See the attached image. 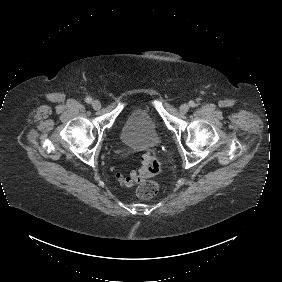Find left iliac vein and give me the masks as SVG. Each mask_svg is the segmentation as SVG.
Returning <instances> with one entry per match:
<instances>
[{
  "instance_id": "obj_1",
  "label": "left iliac vein",
  "mask_w": 282,
  "mask_h": 282,
  "mask_svg": "<svg viewBox=\"0 0 282 282\" xmlns=\"http://www.w3.org/2000/svg\"><path fill=\"white\" fill-rule=\"evenodd\" d=\"M190 109V106L188 104H182L179 108V111L181 114H186Z\"/></svg>"
}]
</instances>
